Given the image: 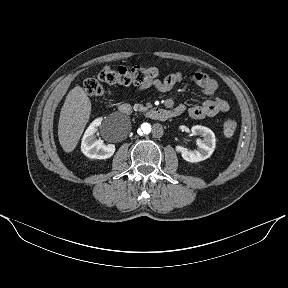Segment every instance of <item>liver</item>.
Masks as SVG:
<instances>
[{
    "instance_id": "6515ba94",
    "label": "liver",
    "mask_w": 288,
    "mask_h": 288,
    "mask_svg": "<svg viewBox=\"0 0 288 288\" xmlns=\"http://www.w3.org/2000/svg\"><path fill=\"white\" fill-rule=\"evenodd\" d=\"M91 102L80 86H75L67 95L60 112L58 139L67 153L72 152L89 120Z\"/></svg>"
}]
</instances>
